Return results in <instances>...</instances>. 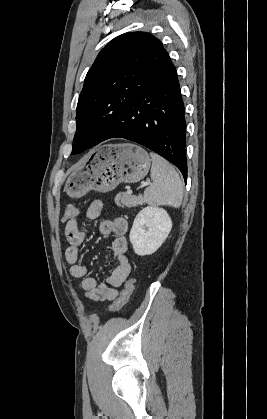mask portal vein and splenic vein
<instances>
[{
	"instance_id": "1",
	"label": "portal vein and splenic vein",
	"mask_w": 267,
	"mask_h": 419,
	"mask_svg": "<svg viewBox=\"0 0 267 419\" xmlns=\"http://www.w3.org/2000/svg\"><path fill=\"white\" fill-rule=\"evenodd\" d=\"M149 184H150V182H145V183H143V184H142V186H141V187L148 186ZM127 193H128V194H132V190H131V189H128V190H127Z\"/></svg>"
}]
</instances>
